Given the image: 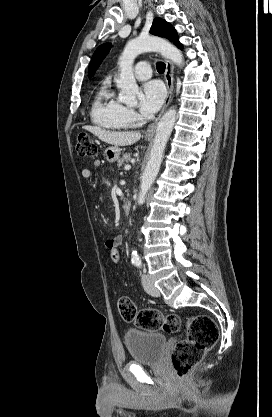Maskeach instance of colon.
Instances as JSON below:
<instances>
[{
    "instance_id": "1",
    "label": "colon",
    "mask_w": 272,
    "mask_h": 417,
    "mask_svg": "<svg viewBox=\"0 0 272 417\" xmlns=\"http://www.w3.org/2000/svg\"><path fill=\"white\" fill-rule=\"evenodd\" d=\"M97 146L89 136L82 134L77 141V153L82 157H95ZM120 243L112 242L107 247L109 257L114 263L120 262ZM121 317L132 322L138 328L147 331L178 332L182 327V319L177 314H163L155 309L138 310L134 302L123 296L117 303ZM219 337V329L215 321L203 314L190 316L186 322V338L178 341L171 352V362L176 376L186 378L191 370L202 360L207 350L212 348Z\"/></svg>"
}]
</instances>
